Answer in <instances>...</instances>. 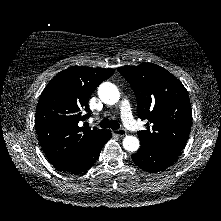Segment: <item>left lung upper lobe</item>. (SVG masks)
<instances>
[{
    "mask_svg": "<svg viewBox=\"0 0 221 221\" xmlns=\"http://www.w3.org/2000/svg\"><path fill=\"white\" fill-rule=\"evenodd\" d=\"M137 99L138 116L147 130L139 131L141 149L179 155L188 140L192 109L183 84L152 63L119 67Z\"/></svg>",
    "mask_w": 221,
    "mask_h": 221,
    "instance_id": "obj_1",
    "label": "left lung upper lobe"
}]
</instances>
